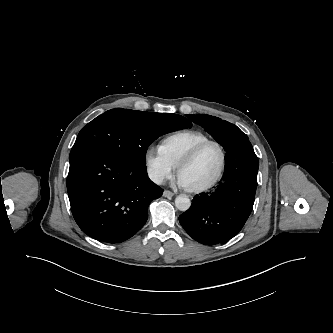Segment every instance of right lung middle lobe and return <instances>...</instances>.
Wrapping results in <instances>:
<instances>
[{
    "label": "right lung middle lobe",
    "mask_w": 333,
    "mask_h": 333,
    "mask_svg": "<svg viewBox=\"0 0 333 333\" xmlns=\"http://www.w3.org/2000/svg\"><path fill=\"white\" fill-rule=\"evenodd\" d=\"M191 126L192 123L176 114L153 116L142 111L116 108L88 123L79 132L73 147L92 144L134 166L146 167L147 148L154 140L160 135Z\"/></svg>",
    "instance_id": "dd1d6c3e"
}]
</instances>
